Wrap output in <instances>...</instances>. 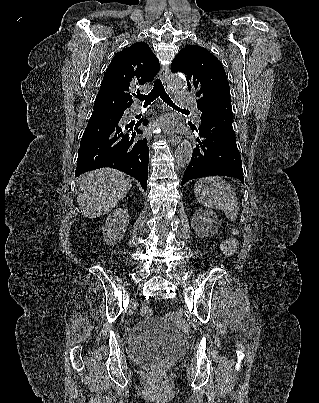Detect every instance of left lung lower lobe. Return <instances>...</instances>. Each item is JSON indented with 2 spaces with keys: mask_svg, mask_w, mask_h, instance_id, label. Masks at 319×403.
Returning a JSON list of instances; mask_svg holds the SVG:
<instances>
[{
  "mask_svg": "<svg viewBox=\"0 0 319 403\" xmlns=\"http://www.w3.org/2000/svg\"><path fill=\"white\" fill-rule=\"evenodd\" d=\"M233 113L214 110L201 115L191 162L184 172L181 185L186 181L209 175L235 177L244 183L242 161L232 127Z\"/></svg>",
  "mask_w": 319,
  "mask_h": 403,
  "instance_id": "obj_1",
  "label": "left lung lower lobe"
}]
</instances>
